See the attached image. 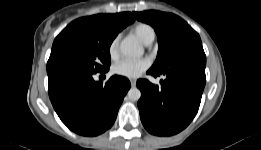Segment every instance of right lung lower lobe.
<instances>
[{
    "mask_svg": "<svg viewBox=\"0 0 261 150\" xmlns=\"http://www.w3.org/2000/svg\"><path fill=\"white\" fill-rule=\"evenodd\" d=\"M49 97L62 122L73 132L96 136L109 129L130 82L113 76L105 84L93 74L66 71L48 75Z\"/></svg>",
    "mask_w": 261,
    "mask_h": 150,
    "instance_id": "98d812e1",
    "label": "right lung lower lobe"
}]
</instances>
